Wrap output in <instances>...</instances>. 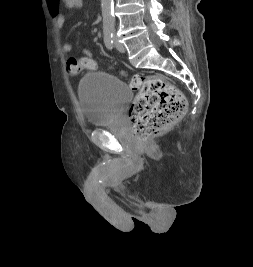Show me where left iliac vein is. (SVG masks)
Here are the masks:
<instances>
[{
    "label": "left iliac vein",
    "instance_id": "1",
    "mask_svg": "<svg viewBox=\"0 0 253 267\" xmlns=\"http://www.w3.org/2000/svg\"><path fill=\"white\" fill-rule=\"evenodd\" d=\"M113 40H114L116 49L121 53L125 52V47L121 43H119L118 38L116 36L113 37Z\"/></svg>",
    "mask_w": 253,
    "mask_h": 267
}]
</instances>
